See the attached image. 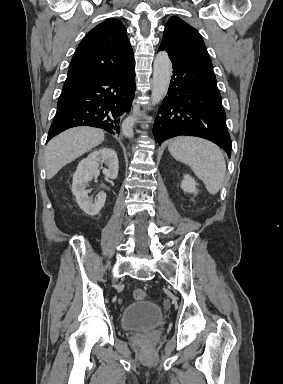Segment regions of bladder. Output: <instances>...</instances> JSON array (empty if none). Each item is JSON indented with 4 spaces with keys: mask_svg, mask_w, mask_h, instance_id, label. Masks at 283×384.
<instances>
[{
    "mask_svg": "<svg viewBox=\"0 0 283 384\" xmlns=\"http://www.w3.org/2000/svg\"><path fill=\"white\" fill-rule=\"evenodd\" d=\"M162 322V310L153 301L128 303L120 313V326L125 330L153 329Z\"/></svg>",
    "mask_w": 283,
    "mask_h": 384,
    "instance_id": "1",
    "label": "bladder"
}]
</instances>
